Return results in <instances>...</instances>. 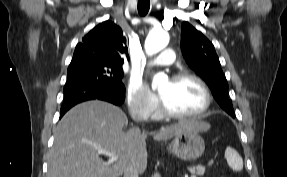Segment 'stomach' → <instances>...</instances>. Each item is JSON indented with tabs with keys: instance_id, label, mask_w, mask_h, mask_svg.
Here are the masks:
<instances>
[{
	"instance_id": "1",
	"label": "stomach",
	"mask_w": 287,
	"mask_h": 177,
	"mask_svg": "<svg viewBox=\"0 0 287 177\" xmlns=\"http://www.w3.org/2000/svg\"><path fill=\"white\" fill-rule=\"evenodd\" d=\"M169 151L184 161H194L201 157L205 142L197 130H186L174 136L168 146Z\"/></svg>"
}]
</instances>
